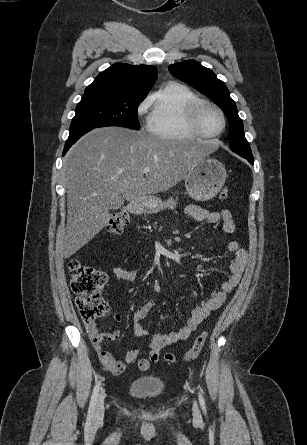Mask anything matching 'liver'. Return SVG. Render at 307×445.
<instances>
[{
    "mask_svg": "<svg viewBox=\"0 0 307 445\" xmlns=\"http://www.w3.org/2000/svg\"><path fill=\"white\" fill-rule=\"evenodd\" d=\"M202 156L198 144L155 138L144 130L103 126L84 134L65 162L62 257H72L106 227L117 194L134 200L169 190ZM145 166L150 172H142Z\"/></svg>",
    "mask_w": 307,
    "mask_h": 445,
    "instance_id": "1",
    "label": "liver"
}]
</instances>
